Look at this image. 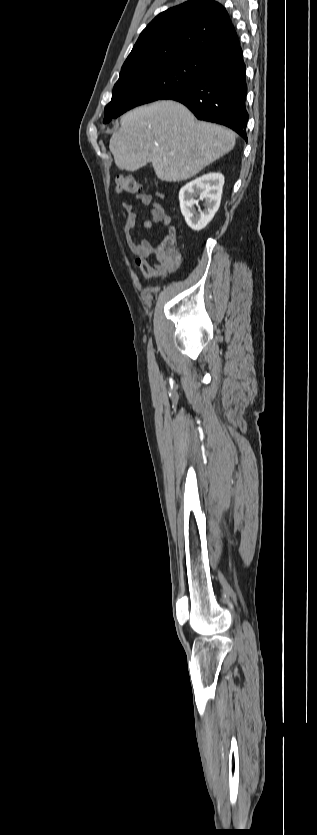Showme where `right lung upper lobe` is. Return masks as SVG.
<instances>
[{
	"mask_svg": "<svg viewBox=\"0 0 317 835\" xmlns=\"http://www.w3.org/2000/svg\"><path fill=\"white\" fill-rule=\"evenodd\" d=\"M236 36L225 8L215 1L190 0L170 8L142 31L120 76L204 52Z\"/></svg>",
	"mask_w": 317,
	"mask_h": 835,
	"instance_id": "obj_1",
	"label": "right lung upper lobe"
}]
</instances>
